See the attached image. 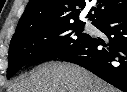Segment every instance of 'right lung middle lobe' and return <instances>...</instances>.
<instances>
[{"label": "right lung middle lobe", "mask_w": 127, "mask_h": 92, "mask_svg": "<svg viewBox=\"0 0 127 92\" xmlns=\"http://www.w3.org/2000/svg\"><path fill=\"white\" fill-rule=\"evenodd\" d=\"M84 25L77 22L61 26H39L12 39L7 79L26 64L57 58L85 42L89 34L83 32Z\"/></svg>", "instance_id": "right-lung-middle-lobe-1"}]
</instances>
